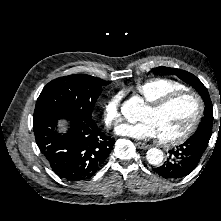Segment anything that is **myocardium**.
Instances as JSON below:
<instances>
[{"mask_svg": "<svg viewBox=\"0 0 221 221\" xmlns=\"http://www.w3.org/2000/svg\"><path fill=\"white\" fill-rule=\"evenodd\" d=\"M192 97L196 103V114L192 120V122L189 124V126L185 129L184 132H182L181 134L170 138V139H159V142L162 145L165 146H175L178 144H181L183 142H185L197 129L203 113H204V103L202 98L200 97V95L192 90H179V91H175L169 94H166L162 97H160L159 99L153 101V102H149L147 103V108H149L152 111H160L163 108H165L166 106H168L170 103H172L173 101L181 98V97Z\"/></svg>", "mask_w": 221, "mask_h": 221, "instance_id": "1", "label": "myocardium"}]
</instances>
